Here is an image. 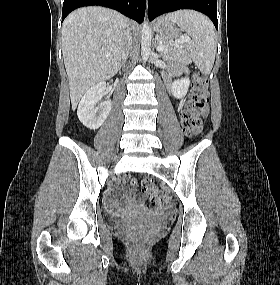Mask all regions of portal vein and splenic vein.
Segmentation results:
<instances>
[{
	"mask_svg": "<svg viewBox=\"0 0 280 285\" xmlns=\"http://www.w3.org/2000/svg\"><path fill=\"white\" fill-rule=\"evenodd\" d=\"M190 38L188 37H183L182 39L180 40H176L175 42L172 43L173 46H176V47H182V44L185 43V42H188ZM166 47L163 46V45H160L157 47V50L158 51H163ZM108 56V54H107Z\"/></svg>",
	"mask_w": 280,
	"mask_h": 285,
	"instance_id": "18ae733b",
	"label": "portal vein and splenic vein"
}]
</instances>
